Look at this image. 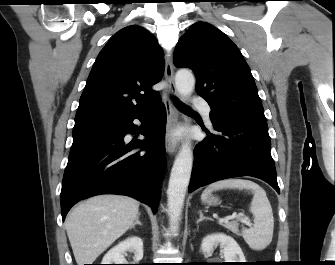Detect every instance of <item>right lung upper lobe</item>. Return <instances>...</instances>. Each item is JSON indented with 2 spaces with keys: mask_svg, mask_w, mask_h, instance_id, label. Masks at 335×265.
Returning a JSON list of instances; mask_svg holds the SVG:
<instances>
[{
  "mask_svg": "<svg viewBox=\"0 0 335 265\" xmlns=\"http://www.w3.org/2000/svg\"><path fill=\"white\" fill-rule=\"evenodd\" d=\"M163 73V51L147 30L136 25L119 30L92 67L74 126L111 124L150 110L161 100L151 86Z\"/></svg>",
  "mask_w": 335,
  "mask_h": 265,
  "instance_id": "right-lung-upper-lobe-1",
  "label": "right lung upper lobe"
}]
</instances>
